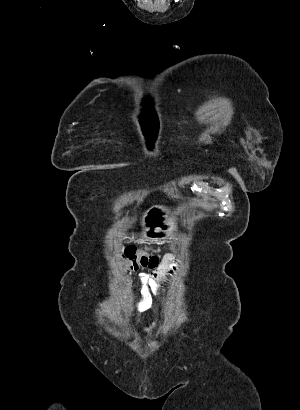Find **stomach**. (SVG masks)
I'll list each match as a JSON object with an SVG mask.
<instances>
[{
    "label": "stomach",
    "mask_w": 300,
    "mask_h": 410,
    "mask_svg": "<svg viewBox=\"0 0 300 410\" xmlns=\"http://www.w3.org/2000/svg\"><path fill=\"white\" fill-rule=\"evenodd\" d=\"M184 210L185 206L176 208L152 207L142 217L140 236L147 240H161L170 237L177 228L178 215ZM135 237V234L130 236L132 239Z\"/></svg>",
    "instance_id": "stomach-1"
}]
</instances>
